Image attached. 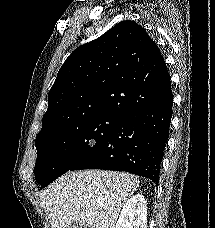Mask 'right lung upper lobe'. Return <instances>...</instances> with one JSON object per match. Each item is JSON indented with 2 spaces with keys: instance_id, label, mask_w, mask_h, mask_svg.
Returning a JSON list of instances; mask_svg holds the SVG:
<instances>
[{
  "instance_id": "right-lung-upper-lobe-1",
  "label": "right lung upper lobe",
  "mask_w": 215,
  "mask_h": 228,
  "mask_svg": "<svg viewBox=\"0 0 215 228\" xmlns=\"http://www.w3.org/2000/svg\"><path fill=\"white\" fill-rule=\"evenodd\" d=\"M168 77L164 58L144 28L122 21L65 60L49 92L41 131L100 114L124 117L164 96Z\"/></svg>"
}]
</instances>
